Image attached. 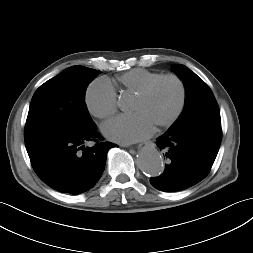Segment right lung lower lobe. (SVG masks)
Here are the masks:
<instances>
[{
	"label": "right lung lower lobe",
	"instance_id": "obj_1",
	"mask_svg": "<svg viewBox=\"0 0 253 253\" xmlns=\"http://www.w3.org/2000/svg\"><path fill=\"white\" fill-rule=\"evenodd\" d=\"M96 125L50 139L28 152L39 178L49 187L63 193L80 194L91 189L101 177L107 153L116 145L99 142Z\"/></svg>",
	"mask_w": 253,
	"mask_h": 253
}]
</instances>
